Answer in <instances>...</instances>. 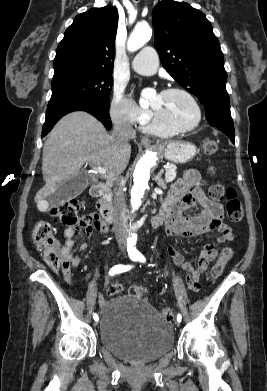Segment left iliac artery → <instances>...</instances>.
Returning a JSON list of instances; mask_svg holds the SVG:
<instances>
[{
	"mask_svg": "<svg viewBox=\"0 0 267 391\" xmlns=\"http://www.w3.org/2000/svg\"><path fill=\"white\" fill-rule=\"evenodd\" d=\"M137 260H139L140 262H145V258L143 255L139 254L137 257H136ZM182 317L180 314L177 315V321H181Z\"/></svg>",
	"mask_w": 267,
	"mask_h": 391,
	"instance_id": "left-iliac-artery-1",
	"label": "left iliac artery"
}]
</instances>
